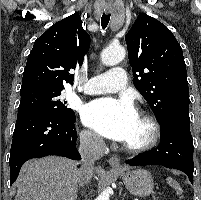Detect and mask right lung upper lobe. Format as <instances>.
<instances>
[{
    "label": "right lung upper lobe",
    "instance_id": "cb5924a9",
    "mask_svg": "<svg viewBox=\"0 0 201 200\" xmlns=\"http://www.w3.org/2000/svg\"><path fill=\"white\" fill-rule=\"evenodd\" d=\"M90 36L75 13L52 25L34 43L23 73L21 93L63 91L73 84L71 70L82 64Z\"/></svg>",
    "mask_w": 201,
    "mask_h": 200
}]
</instances>
